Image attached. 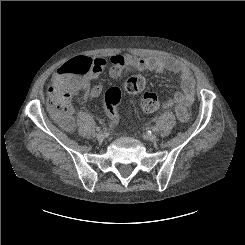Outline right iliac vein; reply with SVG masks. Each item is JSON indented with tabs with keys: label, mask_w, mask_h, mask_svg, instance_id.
Here are the masks:
<instances>
[{
	"label": "right iliac vein",
	"mask_w": 245,
	"mask_h": 245,
	"mask_svg": "<svg viewBox=\"0 0 245 245\" xmlns=\"http://www.w3.org/2000/svg\"><path fill=\"white\" fill-rule=\"evenodd\" d=\"M96 137H97V139H98L99 141H103L104 138H105V135H104V133L99 132V133L96 135Z\"/></svg>",
	"instance_id": "obj_1"
}]
</instances>
